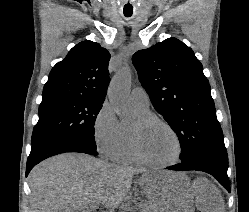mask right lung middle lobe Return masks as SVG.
Listing matches in <instances>:
<instances>
[{
    "label": "right lung middle lobe",
    "mask_w": 249,
    "mask_h": 212,
    "mask_svg": "<svg viewBox=\"0 0 249 212\" xmlns=\"http://www.w3.org/2000/svg\"><path fill=\"white\" fill-rule=\"evenodd\" d=\"M102 103L79 95L43 97L39 107V121L32 134V144L41 139L68 136L96 150L94 124Z\"/></svg>",
    "instance_id": "obj_1"
}]
</instances>
